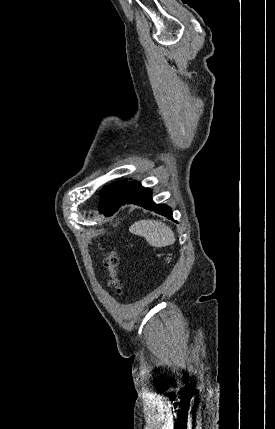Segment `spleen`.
I'll return each mask as SVG.
<instances>
[{
    "label": "spleen",
    "mask_w": 275,
    "mask_h": 429,
    "mask_svg": "<svg viewBox=\"0 0 275 429\" xmlns=\"http://www.w3.org/2000/svg\"><path fill=\"white\" fill-rule=\"evenodd\" d=\"M132 234L142 236L154 247H164L175 242V235L169 226L158 220H140L129 228Z\"/></svg>",
    "instance_id": "1"
}]
</instances>
